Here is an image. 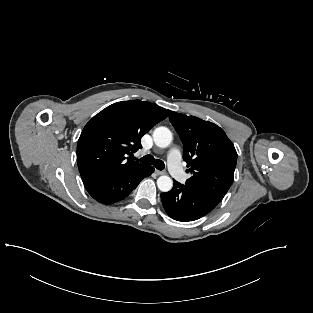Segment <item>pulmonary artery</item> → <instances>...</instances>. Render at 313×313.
I'll return each mask as SVG.
<instances>
[{"instance_id": "1", "label": "pulmonary artery", "mask_w": 313, "mask_h": 313, "mask_svg": "<svg viewBox=\"0 0 313 313\" xmlns=\"http://www.w3.org/2000/svg\"><path fill=\"white\" fill-rule=\"evenodd\" d=\"M168 167L172 176L179 182L184 183L187 176L181 166V152L178 148H172L168 153Z\"/></svg>"}]
</instances>
